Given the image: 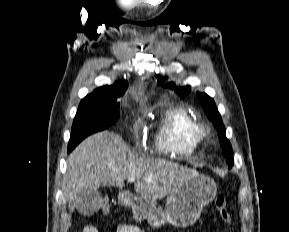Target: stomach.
Instances as JSON below:
<instances>
[{
  "mask_svg": "<svg viewBox=\"0 0 289 232\" xmlns=\"http://www.w3.org/2000/svg\"><path fill=\"white\" fill-rule=\"evenodd\" d=\"M216 183L210 177L196 173L177 191L172 193L164 209L156 206L155 200L124 192L119 201L132 208L137 221L146 220L152 227L158 228L169 223L175 227H187L200 217L204 206L216 196Z\"/></svg>",
  "mask_w": 289,
  "mask_h": 232,
  "instance_id": "1",
  "label": "stomach"
}]
</instances>
